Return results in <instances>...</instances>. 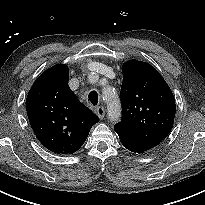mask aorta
I'll return each mask as SVG.
<instances>
[{
	"label": "aorta",
	"mask_w": 205,
	"mask_h": 205,
	"mask_svg": "<svg viewBox=\"0 0 205 205\" xmlns=\"http://www.w3.org/2000/svg\"><path fill=\"white\" fill-rule=\"evenodd\" d=\"M108 97L107 115L110 121L117 122L121 115V106L116 92L112 89L105 91Z\"/></svg>",
	"instance_id": "aorta-1"
}]
</instances>
